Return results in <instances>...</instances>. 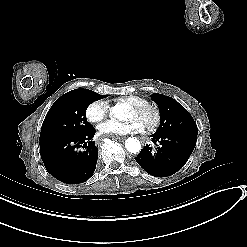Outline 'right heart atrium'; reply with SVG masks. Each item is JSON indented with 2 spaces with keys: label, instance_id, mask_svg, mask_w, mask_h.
<instances>
[{
  "label": "right heart atrium",
  "instance_id": "obj_1",
  "mask_svg": "<svg viewBox=\"0 0 247 247\" xmlns=\"http://www.w3.org/2000/svg\"><path fill=\"white\" fill-rule=\"evenodd\" d=\"M88 120L92 123H99L109 113V106L103 100L92 101L85 110Z\"/></svg>",
  "mask_w": 247,
  "mask_h": 247
}]
</instances>
